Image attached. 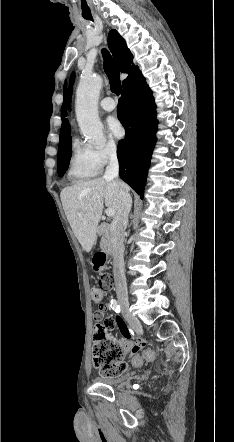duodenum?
Wrapping results in <instances>:
<instances>
[{"mask_svg": "<svg viewBox=\"0 0 234 442\" xmlns=\"http://www.w3.org/2000/svg\"><path fill=\"white\" fill-rule=\"evenodd\" d=\"M100 234L104 238L103 242L104 253L111 255L113 253V245L110 237V228L108 224H102L100 226Z\"/></svg>", "mask_w": 234, "mask_h": 442, "instance_id": "duodenum-1", "label": "duodenum"}]
</instances>
